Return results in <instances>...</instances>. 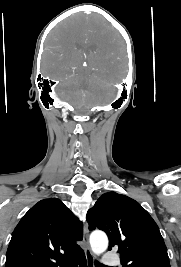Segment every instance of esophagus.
Returning a JSON list of instances; mask_svg holds the SVG:
<instances>
[{
	"mask_svg": "<svg viewBox=\"0 0 181 267\" xmlns=\"http://www.w3.org/2000/svg\"><path fill=\"white\" fill-rule=\"evenodd\" d=\"M88 239H89V229H88V224L85 223L84 230H83V249H84V253H85V257L87 261V266L94 267V256L90 249Z\"/></svg>",
	"mask_w": 181,
	"mask_h": 267,
	"instance_id": "1",
	"label": "esophagus"
}]
</instances>
